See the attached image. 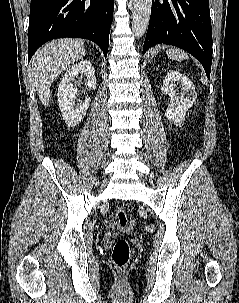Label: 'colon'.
I'll return each mask as SVG.
<instances>
[{
    "label": "colon",
    "instance_id": "colon-1",
    "mask_svg": "<svg viewBox=\"0 0 239 303\" xmlns=\"http://www.w3.org/2000/svg\"><path fill=\"white\" fill-rule=\"evenodd\" d=\"M115 219L118 228H124L128 224L127 213L122 208L115 210ZM131 250L128 241L120 238L116 241L112 250V262L118 269H124L130 260Z\"/></svg>",
    "mask_w": 239,
    "mask_h": 303
}]
</instances>
